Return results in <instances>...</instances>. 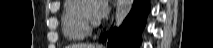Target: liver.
Returning <instances> with one entry per match:
<instances>
[{"label": "liver", "mask_w": 213, "mask_h": 48, "mask_svg": "<svg viewBox=\"0 0 213 48\" xmlns=\"http://www.w3.org/2000/svg\"><path fill=\"white\" fill-rule=\"evenodd\" d=\"M68 48H95V47L92 44L79 43V44H73Z\"/></svg>", "instance_id": "6515ba94"}]
</instances>
